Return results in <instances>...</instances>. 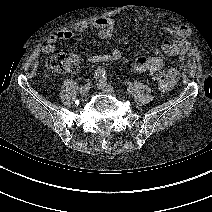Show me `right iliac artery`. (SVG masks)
Segmentation results:
<instances>
[{
	"label": "right iliac artery",
	"instance_id": "right-iliac-artery-1",
	"mask_svg": "<svg viewBox=\"0 0 212 212\" xmlns=\"http://www.w3.org/2000/svg\"><path fill=\"white\" fill-rule=\"evenodd\" d=\"M105 73H106V72H105V69L99 67V68H97V69L95 70V72H94V77H95V78L103 77V76H105Z\"/></svg>",
	"mask_w": 212,
	"mask_h": 212
}]
</instances>
